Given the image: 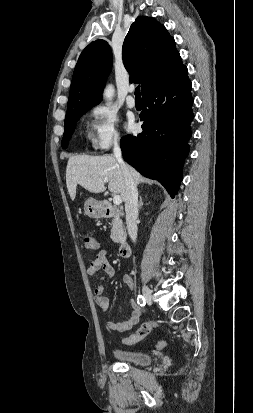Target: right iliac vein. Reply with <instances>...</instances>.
<instances>
[{"label":"right iliac vein","mask_w":253,"mask_h":413,"mask_svg":"<svg viewBox=\"0 0 253 413\" xmlns=\"http://www.w3.org/2000/svg\"><path fill=\"white\" fill-rule=\"evenodd\" d=\"M142 292H143L144 298L146 299L147 303L152 304V293L149 287L144 285L142 288Z\"/></svg>","instance_id":"right-iliac-vein-1"}]
</instances>
